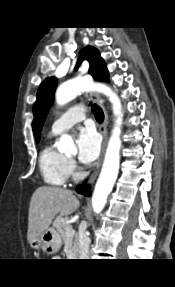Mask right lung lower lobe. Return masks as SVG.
Returning <instances> with one entry per match:
<instances>
[{
  "label": "right lung lower lobe",
  "instance_id": "98d812e1",
  "mask_svg": "<svg viewBox=\"0 0 175 287\" xmlns=\"http://www.w3.org/2000/svg\"><path fill=\"white\" fill-rule=\"evenodd\" d=\"M77 192L84 195V196H89L90 195V187L89 186H83L80 185L77 187Z\"/></svg>",
  "mask_w": 175,
  "mask_h": 287
}]
</instances>
